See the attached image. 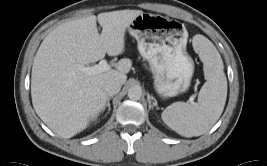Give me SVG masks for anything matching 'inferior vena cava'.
<instances>
[{
	"label": "inferior vena cava",
	"instance_id": "602c4592",
	"mask_svg": "<svg viewBox=\"0 0 267 166\" xmlns=\"http://www.w3.org/2000/svg\"><path fill=\"white\" fill-rule=\"evenodd\" d=\"M122 83L120 81L111 79L108 80L104 85V91L107 95L113 96L116 95L121 89Z\"/></svg>",
	"mask_w": 267,
	"mask_h": 166
}]
</instances>
